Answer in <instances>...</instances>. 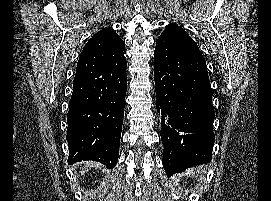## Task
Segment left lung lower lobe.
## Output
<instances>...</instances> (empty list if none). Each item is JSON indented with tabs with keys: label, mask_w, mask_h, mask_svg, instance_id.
Listing matches in <instances>:
<instances>
[{
	"label": "left lung lower lobe",
	"mask_w": 271,
	"mask_h": 201,
	"mask_svg": "<svg viewBox=\"0 0 271 201\" xmlns=\"http://www.w3.org/2000/svg\"><path fill=\"white\" fill-rule=\"evenodd\" d=\"M154 80L167 175L210 162L215 140L213 91L205 59L182 28L157 40Z\"/></svg>",
	"instance_id": "obj_1"
}]
</instances>
